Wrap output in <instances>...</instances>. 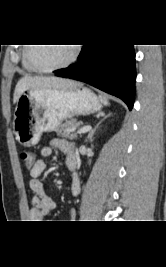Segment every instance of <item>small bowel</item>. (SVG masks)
Returning <instances> with one entry per match:
<instances>
[{"label":"small bowel","mask_w":166,"mask_h":267,"mask_svg":"<svg viewBox=\"0 0 166 267\" xmlns=\"http://www.w3.org/2000/svg\"><path fill=\"white\" fill-rule=\"evenodd\" d=\"M55 148L59 149L65 155L66 164L68 168L73 171L72 193L76 195L79 191L80 182L78 175L74 171L75 145L69 140L54 139L51 141L50 145L45 146L40 150V155L42 157H49L52 155ZM45 169L46 163L43 160L35 161L34 165L30 168L29 186L34 193V197L32 199V207L29 210V217L36 222L43 220L56 208L55 201L47 195L44 184L40 180ZM74 216V210H70L68 212V218L72 220Z\"/></svg>","instance_id":"1"}]
</instances>
